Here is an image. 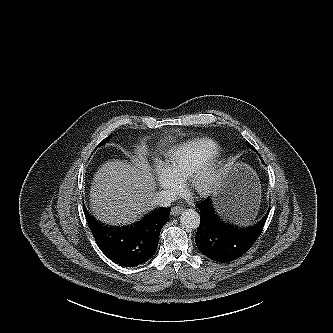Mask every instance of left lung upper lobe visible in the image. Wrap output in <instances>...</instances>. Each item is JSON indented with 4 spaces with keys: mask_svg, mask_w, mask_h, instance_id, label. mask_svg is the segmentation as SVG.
Wrapping results in <instances>:
<instances>
[{
    "mask_svg": "<svg viewBox=\"0 0 333 333\" xmlns=\"http://www.w3.org/2000/svg\"><path fill=\"white\" fill-rule=\"evenodd\" d=\"M250 147H251L252 149H254V150H255V148H254L253 146H251V145H250ZM255 151H256V150H255Z\"/></svg>",
    "mask_w": 333,
    "mask_h": 333,
    "instance_id": "left-lung-upper-lobe-1",
    "label": "left lung upper lobe"
}]
</instances>
